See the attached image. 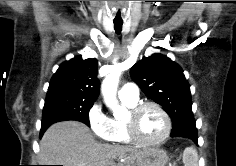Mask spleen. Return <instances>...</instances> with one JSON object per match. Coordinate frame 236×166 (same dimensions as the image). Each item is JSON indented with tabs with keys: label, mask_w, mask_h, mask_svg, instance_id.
Listing matches in <instances>:
<instances>
[{
	"label": "spleen",
	"mask_w": 236,
	"mask_h": 166,
	"mask_svg": "<svg viewBox=\"0 0 236 166\" xmlns=\"http://www.w3.org/2000/svg\"><path fill=\"white\" fill-rule=\"evenodd\" d=\"M184 166H198V153L194 147H187L183 152Z\"/></svg>",
	"instance_id": "spleen-1"
}]
</instances>
